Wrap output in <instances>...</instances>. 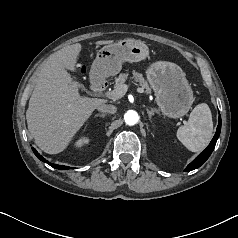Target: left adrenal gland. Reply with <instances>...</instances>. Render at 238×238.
<instances>
[{
	"label": "left adrenal gland",
	"mask_w": 238,
	"mask_h": 238,
	"mask_svg": "<svg viewBox=\"0 0 238 238\" xmlns=\"http://www.w3.org/2000/svg\"><path fill=\"white\" fill-rule=\"evenodd\" d=\"M155 112H157L156 109H154V108L148 109L147 108V113H148V116H149L150 120L152 119V116L154 115Z\"/></svg>",
	"instance_id": "a2214340"
}]
</instances>
